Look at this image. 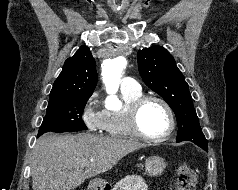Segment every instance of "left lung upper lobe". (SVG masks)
<instances>
[{
    "label": "left lung upper lobe",
    "instance_id": "obj_1",
    "mask_svg": "<svg viewBox=\"0 0 238 190\" xmlns=\"http://www.w3.org/2000/svg\"><path fill=\"white\" fill-rule=\"evenodd\" d=\"M137 60L145 84L158 93L176 115L177 142L191 141L207 150V140L201 130L188 84L173 56L161 46H152L138 51Z\"/></svg>",
    "mask_w": 238,
    "mask_h": 190
}]
</instances>
